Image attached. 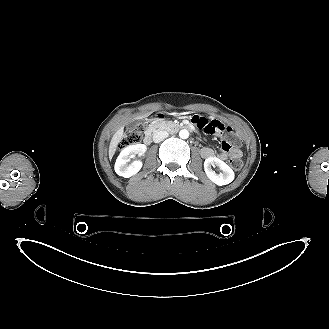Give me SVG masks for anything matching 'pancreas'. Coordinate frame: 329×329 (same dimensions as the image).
I'll return each mask as SVG.
<instances>
[{"mask_svg": "<svg viewBox=\"0 0 329 329\" xmlns=\"http://www.w3.org/2000/svg\"><path fill=\"white\" fill-rule=\"evenodd\" d=\"M178 128V124L174 123V122H164L161 123L159 126V129L161 130H167V131H172L174 129Z\"/></svg>", "mask_w": 329, "mask_h": 329, "instance_id": "cf45deb5", "label": "pancreas"}]
</instances>
